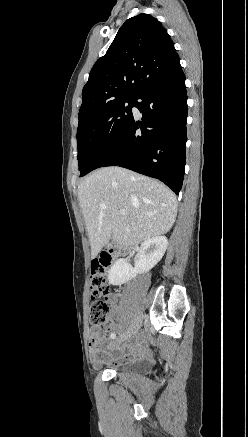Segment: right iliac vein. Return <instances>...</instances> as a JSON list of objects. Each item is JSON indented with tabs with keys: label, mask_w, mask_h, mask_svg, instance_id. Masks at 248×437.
I'll return each instance as SVG.
<instances>
[{
	"label": "right iliac vein",
	"mask_w": 248,
	"mask_h": 437,
	"mask_svg": "<svg viewBox=\"0 0 248 437\" xmlns=\"http://www.w3.org/2000/svg\"><path fill=\"white\" fill-rule=\"evenodd\" d=\"M141 324H142V316H139L132 324L130 330L126 334H122L120 337H118L115 340L114 344L118 345L129 339L138 331V329L141 327Z\"/></svg>",
	"instance_id": "63e3f726"
}]
</instances>
